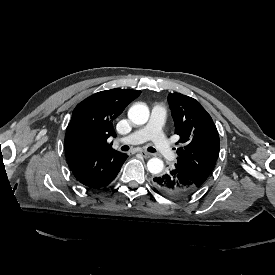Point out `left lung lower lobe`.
Here are the masks:
<instances>
[{
    "instance_id": "left-lung-lower-lobe-1",
    "label": "left lung lower lobe",
    "mask_w": 275,
    "mask_h": 275,
    "mask_svg": "<svg viewBox=\"0 0 275 275\" xmlns=\"http://www.w3.org/2000/svg\"><path fill=\"white\" fill-rule=\"evenodd\" d=\"M153 185L161 194L172 198L190 196L198 189L176 166L169 172L153 178Z\"/></svg>"
}]
</instances>
